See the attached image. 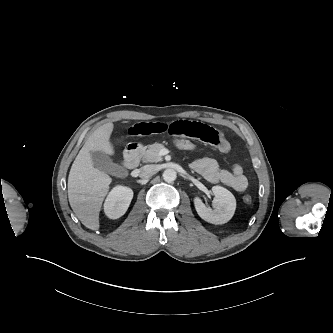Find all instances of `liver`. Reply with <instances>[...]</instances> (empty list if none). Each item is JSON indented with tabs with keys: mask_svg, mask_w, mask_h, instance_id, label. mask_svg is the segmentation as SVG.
I'll list each match as a JSON object with an SVG mask.
<instances>
[{
	"mask_svg": "<svg viewBox=\"0 0 333 333\" xmlns=\"http://www.w3.org/2000/svg\"><path fill=\"white\" fill-rule=\"evenodd\" d=\"M114 125L106 123L97 128L87 139L76 156L68 177V198L71 208L84 226L99 229V212L109 191L112 179L94 167L91 152L103 151L113 155L110 136Z\"/></svg>",
	"mask_w": 333,
	"mask_h": 333,
	"instance_id": "1",
	"label": "liver"
}]
</instances>
